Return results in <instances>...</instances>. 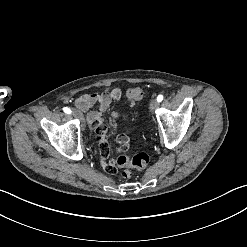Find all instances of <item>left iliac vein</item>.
I'll use <instances>...</instances> for the list:
<instances>
[{
	"mask_svg": "<svg viewBox=\"0 0 247 247\" xmlns=\"http://www.w3.org/2000/svg\"><path fill=\"white\" fill-rule=\"evenodd\" d=\"M157 105H158L157 100L152 98L149 104L150 111L153 112L156 109Z\"/></svg>",
	"mask_w": 247,
	"mask_h": 247,
	"instance_id": "left-iliac-vein-1",
	"label": "left iliac vein"
}]
</instances>
